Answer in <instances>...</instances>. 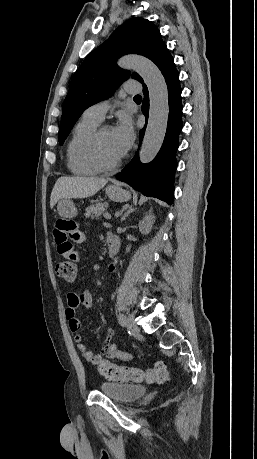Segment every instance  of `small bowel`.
Masks as SVG:
<instances>
[{"label": "small bowel", "mask_w": 257, "mask_h": 459, "mask_svg": "<svg viewBox=\"0 0 257 459\" xmlns=\"http://www.w3.org/2000/svg\"><path fill=\"white\" fill-rule=\"evenodd\" d=\"M82 224H87V219H82ZM84 234L83 227H76L72 223L71 217H59L57 223H54L52 238L57 248L60 258L64 261H71L72 264H83L85 261L84 253L79 249L78 244H87V235ZM110 271L115 272V267L110 266ZM93 305L92 294L88 290L80 293L70 292L67 295V307L65 309V317L68 321V326L72 332H75V341L78 351L90 363H93L94 354L83 343V335L80 333L81 321L77 317L79 309L88 310ZM114 331L111 328L106 330V338L102 347V354L109 359H119L129 361L133 356L123 351L117 344L112 343Z\"/></svg>", "instance_id": "small-bowel-1"}]
</instances>
